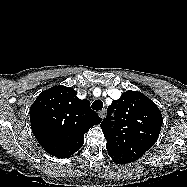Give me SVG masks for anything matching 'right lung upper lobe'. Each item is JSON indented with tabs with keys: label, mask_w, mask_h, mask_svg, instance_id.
<instances>
[{
	"label": "right lung upper lobe",
	"mask_w": 187,
	"mask_h": 187,
	"mask_svg": "<svg viewBox=\"0 0 187 187\" xmlns=\"http://www.w3.org/2000/svg\"><path fill=\"white\" fill-rule=\"evenodd\" d=\"M32 132L52 156L68 158L84 143V134L101 118L71 87L53 86L30 107Z\"/></svg>",
	"instance_id": "obj_1"
}]
</instances>
